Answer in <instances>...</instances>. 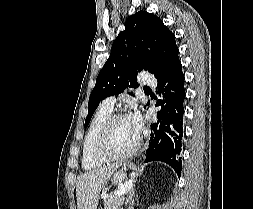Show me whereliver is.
<instances>
[{
  "mask_svg": "<svg viewBox=\"0 0 253 209\" xmlns=\"http://www.w3.org/2000/svg\"><path fill=\"white\" fill-rule=\"evenodd\" d=\"M119 166V164L107 165L88 171L78 177L76 182L78 209H97L101 189ZM113 177L114 180H122L124 174L117 172Z\"/></svg>",
  "mask_w": 253,
  "mask_h": 209,
  "instance_id": "obj_1",
  "label": "liver"
}]
</instances>
